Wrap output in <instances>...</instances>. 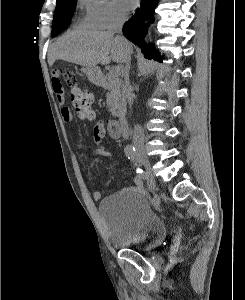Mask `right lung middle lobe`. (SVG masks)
I'll list each match as a JSON object with an SVG mask.
<instances>
[{
  "label": "right lung middle lobe",
  "instance_id": "obj_1",
  "mask_svg": "<svg viewBox=\"0 0 245 300\" xmlns=\"http://www.w3.org/2000/svg\"><path fill=\"white\" fill-rule=\"evenodd\" d=\"M77 0H57L51 36L55 37L69 25Z\"/></svg>",
  "mask_w": 245,
  "mask_h": 300
}]
</instances>
